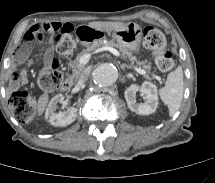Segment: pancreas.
I'll list each match as a JSON object with an SVG mask.
<instances>
[{"mask_svg":"<svg viewBox=\"0 0 215 183\" xmlns=\"http://www.w3.org/2000/svg\"><path fill=\"white\" fill-rule=\"evenodd\" d=\"M101 46H109L112 48H117L123 54L124 57H128L132 62H136L138 65H143V67L145 69H150V63L145 64V62H137L136 58L132 55V53L129 52L126 48H124L120 44L100 40V41L93 43L92 45L87 47L85 50L81 51L76 56V59L71 62V68H72L71 77L73 79H77L79 77L80 73L85 69V66L80 64V62H79L80 58L85 54H89V53L93 52L94 50H96L98 47H101Z\"/></svg>","mask_w":215,"mask_h":183,"instance_id":"1","label":"pancreas"}]
</instances>
